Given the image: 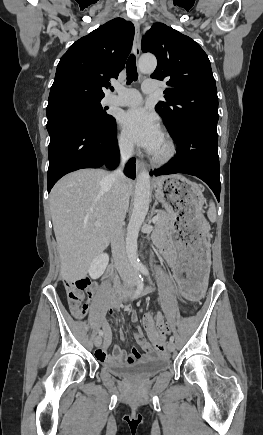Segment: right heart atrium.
Wrapping results in <instances>:
<instances>
[{
	"label": "right heart atrium",
	"mask_w": 263,
	"mask_h": 435,
	"mask_svg": "<svg viewBox=\"0 0 263 435\" xmlns=\"http://www.w3.org/2000/svg\"><path fill=\"white\" fill-rule=\"evenodd\" d=\"M116 142L120 153L124 156H129L133 152V145L129 139L121 132L116 135Z\"/></svg>",
	"instance_id": "d8ad5b80"
}]
</instances>
